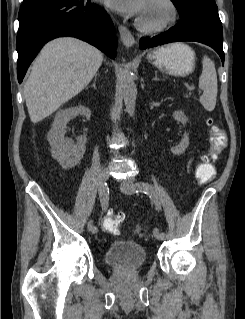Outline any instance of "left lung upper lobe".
<instances>
[{"label":"left lung upper lobe","instance_id":"5c2ea615","mask_svg":"<svg viewBox=\"0 0 245 319\" xmlns=\"http://www.w3.org/2000/svg\"><path fill=\"white\" fill-rule=\"evenodd\" d=\"M177 8L180 20L203 17L221 24L214 0H171Z\"/></svg>","mask_w":245,"mask_h":319}]
</instances>
